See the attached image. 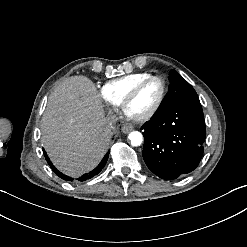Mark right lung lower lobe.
<instances>
[{"label": "right lung lower lobe", "mask_w": 247, "mask_h": 247, "mask_svg": "<svg viewBox=\"0 0 247 247\" xmlns=\"http://www.w3.org/2000/svg\"><path fill=\"white\" fill-rule=\"evenodd\" d=\"M44 152V156L46 158V161L48 162V164L50 165V167L52 168V170L54 171V173L59 176L60 178L67 180V181H73V178L68 177L67 175L62 174L60 171H58L54 165L51 163V161L49 160L45 150H43ZM108 156H109V152L104 156L103 160L101 161V163L91 172H89L88 174H84L82 175L78 180L79 181H85L87 179H90L92 177H94L95 175H97L105 166L107 160H108Z\"/></svg>", "instance_id": "right-lung-lower-lobe-1"}]
</instances>
